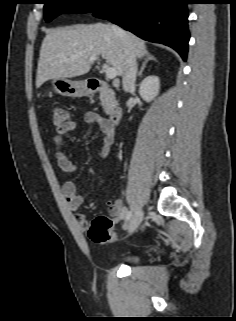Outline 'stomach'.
I'll use <instances>...</instances> for the list:
<instances>
[{"label": "stomach", "mask_w": 236, "mask_h": 321, "mask_svg": "<svg viewBox=\"0 0 236 321\" xmlns=\"http://www.w3.org/2000/svg\"><path fill=\"white\" fill-rule=\"evenodd\" d=\"M55 91L63 96L82 97L90 94L86 81H73L67 78L53 80Z\"/></svg>", "instance_id": "0dacf381"}]
</instances>
